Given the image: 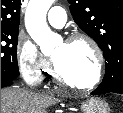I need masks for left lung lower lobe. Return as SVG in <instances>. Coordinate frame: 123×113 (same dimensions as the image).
I'll list each match as a JSON object with an SVG mask.
<instances>
[{"label":"left lung lower lobe","mask_w":123,"mask_h":113,"mask_svg":"<svg viewBox=\"0 0 123 113\" xmlns=\"http://www.w3.org/2000/svg\"><path fill=\"white\" fill-rule=\"evenodd\" d=\"M109 92L123 94V84H121L117 87H114V88H108V87L99 85V87L95 91H93L91 94L92 95H100V94H105V93H109Z\"/></svg>","instance_id":"obj_1"}]
</instances>
